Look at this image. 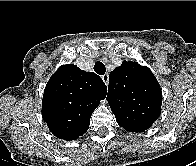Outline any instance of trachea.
Masks as SVG:
<instances>
[{
    "instance_id": "1",
    "label": "trachea",
    "mask_w": 196,
    "mask_h": 166,
    "mask_svg": "<svg viewBox=\"0 0 196 166\" xmlns=\"http://www.w3.org/2000/svg\"><path fill=\"white\" fill-rule=\"evenodd\" d=\"M94 71L99 75H104L106 71L104 64L102 62H96Z\"/></svg>"
}]
</instances>
